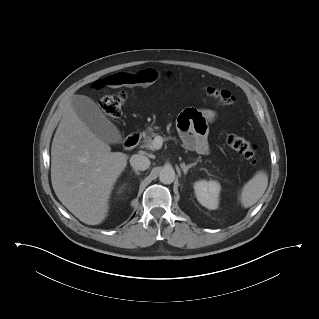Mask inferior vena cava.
I'll list each match as a JSON object with an SVG mask.
<instances>
[{
	"instance_id": "602c4592",
	"label": "inferior vena cava",
	"mask_w": 319,
	"mask_h": 319,
	"mask_svg": "<svg viewBox=\"0 0 319 319\" xmlns=\"http://www.w3.org/2000/svg\"><path fill=\"white\" fill-rule=\"evenodd\" d=\"M130 164L133 167V169L137 171L138 170L144 171L149 168L150 160L144 155L134 154L130 158Z\"/></svg>"
}]
</instances>
